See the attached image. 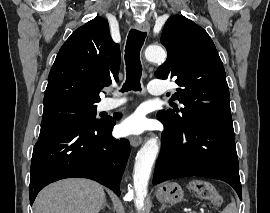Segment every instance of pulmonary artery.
Masks as SVG:
<instances>
[{
	"label": "pulmonary artery",
	"instance_id": "obj_1",
	"mask_svg": "<svg viewBox=\"0 0 270 213\" xmlns=\"http://www.w3.org/2000/svg\"><path fill=\"white\" fill-rule=\"evenodd\" d=\"M149 93L152 95H163L166 92V86L163 81L154 80L149 84ZM125 100L123 98H108L104 104V110H112L120 107Z\"/></svg>",
	"mask_w": 270,
	"mask_h": 213
}]
</instances>
